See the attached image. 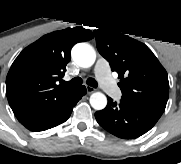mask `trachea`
I'll use <instances>...</instances> for the list:
<instances>
[{"label":"trachea","instance_id":"trachea-1","mask_svg":"<svg viewBox=\"0 0 181 164\" xmlns=\"http://www.w3.org/2000/svg\"><path fill=\"white\" fill-rule=\"evenodd\" d=\"M82 82L83 81L80 77H76V78L72 79L71 81H68V82L62 81L61 83L63 86L77 87V86L82 85ZM86 83L93 88H97V86H98L96 80L93 78L87 79Z\"/></svg>","mask_w":181,"mask_h":164}]
</instances>
